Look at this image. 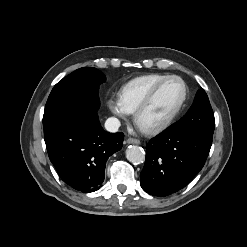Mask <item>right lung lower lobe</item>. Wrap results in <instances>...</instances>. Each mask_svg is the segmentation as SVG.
<instances>
[{
	"mask_svg": "<svg viewBox=\"0 0 247 247\" xmlns=\"http://www.w3.org/2000/svg\"><path fill=\"white\" fill-rule=\"evenodd\" d=\"M44 139L61 179L81 192H93L104 181L107 159L122 148L124 134L104 131L93 112L44 128Z\"/></svg>",
	"mask_w": 247,
	"mask_h": 247,
	"instance_id": "98d812e1",
	"label": "right lung lower lobe"
}]
</instances>
